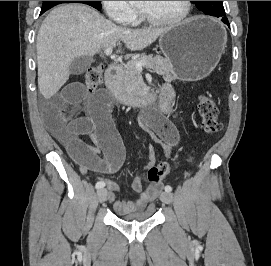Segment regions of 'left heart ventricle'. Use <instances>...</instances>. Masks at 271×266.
Returning <instances> with one entry per match:
<instances>
[{"mask_svg": "<svg viewBox=\"0 0 271 266\" xmlns=\"http://www.w3.org/2000/svg\"><path fill=\"white\" fill-rule=\"evenodd\" d=\"M139 7L157 19H172L183 13L184 1H139Z\"/></svg>", "mask_w": 271, "mask_h": 266, "instance_id": "1", "label": "left heart ventricle"}]
</instances>
